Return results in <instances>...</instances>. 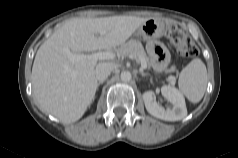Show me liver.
Returning a JSON list of instances; mask_svg holds the SVG:
<instances>
[{
    "label": "liver",
    "mask_w": 238,
    "mask_h": 158,
    "mask_svg": "<svg viewBox=\"0 0 238 158\" xmlns=\"http://www.w3.org/2000/svg\"><path fill=\"white\" fill-rule=\"evenodd\" d=\"M148 19L112 16L67 20L35 55L31 79L41 110L67 124L79 120L95 97L97 60L73 63L66 50L77 54L115 48L125 43Z\"/></svg>",
    "instance_id": "liver-1"
}]
</instances>
